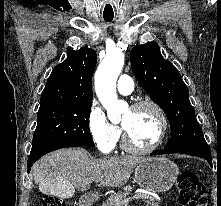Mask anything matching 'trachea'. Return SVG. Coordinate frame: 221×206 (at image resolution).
I'll use <instances>...</instances> for the list:
<instances>
[{
	"instance_id": "trachea-1",
	"label": "trachea",
	"mask_w": 221,
	"mask_h": 206,
	"mask_svg": "<svg viewBox=\"0 0 221 206\" xmlns=\"http://www.w3.org/2000/svg\"><path fill=\"white\" fill-rule=\"evenodd\" d=\"M106 22H111L113 20V16H103Z\"/></svg>"
}]
</instances>
